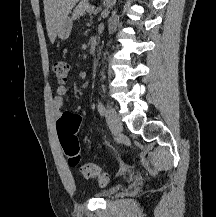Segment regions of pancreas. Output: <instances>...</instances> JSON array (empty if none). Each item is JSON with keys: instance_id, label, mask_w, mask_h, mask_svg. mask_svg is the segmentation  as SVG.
I'll return each instance as SVG.
<instances>
[{"instance_id": "1", "label": "pancreas", "mask_w": 216, "mask_h": 217, "mask_svg": "<svg viewBox=\"0 0 216 217\" xmlns=\"http://www.w3.org/2000/svg\"><path fill=\"white\" fill-rule=\"evenodd\" d=\"M89 1L88 0H81L80 3L76 6L74 9L72 19L80 18L82 15L85 14L87 11V8L89 7Z\"/></svg>"}]
</instances>
